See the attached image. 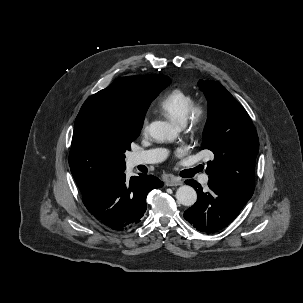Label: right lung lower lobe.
Masks as SVG:
<instances>
[{"label":"right lung lower lobe","instance_id":"98d812e1","mask_svg":"<svg viewBox=\"0 0 303 303\" xmlns=\"http://www.w3.org/2000/svg\"><path fill=\"white\" fill-rule=\"evenodd\" d=\"M163 182L153 175L141 174L126 180L124 171L97 178L81 190L86 208L104 225L124 231L135 227L143 217L150 190Z\"/></svg>","mask_w":303,"mask_h":303}]
</instances>
